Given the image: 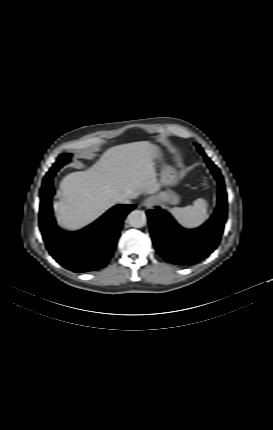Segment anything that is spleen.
<instances>
[{
	"instance_id": "1",
	"label": "spleen",
	"mask_w": 273,
	"mask_h": 430,
	"mask_svg": "<svg viewBox=\"0 0 273 430\" xmlns=\"http://www.w3.org/2000/svg\"><path fill=\"white\" fill-rule=\"evenodd\" d=\"M208 204L203 198L194 201L193 205L174 207L170 210L174 219L184 229H194L200 226L207 218Z\"/></svg>"
}]
</instances>
